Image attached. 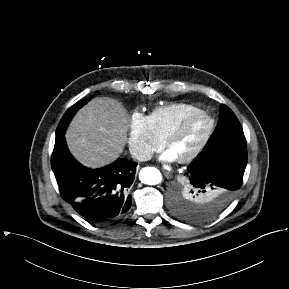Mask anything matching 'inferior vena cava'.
Here are the masks:
<instances>
[{"mask_svg":"<svg viewBox=\"0 0 289 289\" xmlns=\"http://www.w3.org/2000/svg\"><path fill=\"white\" fill-rule=\"evenodd\" d=\"M132 158L138 161H148L151 159L152 154L145 150L135 149L131 151Z\"/></svg>","mask_w":289,"mask_h":289,"instance_id":"602c4592","label":"inferior vena cava"}]
</instances>
